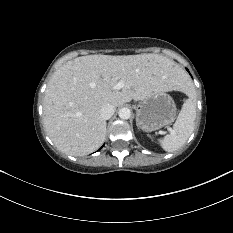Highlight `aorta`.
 <instances>
[{"mask_svg":"<svg viewBox=\"0 0 233 233\" xmlns=\"http://www.w3.org/2000/svg\"><path fill=\"white\" fill-rule=\"evenodd\" d=\"M118 115H119V117H120L121 119L127 120V119H129L130 116H131V111H130L129 108L123 107V108H121V109L119 110Z\"/></svg>","mask_w":233,"mask_h":233,"instance_id":"1","label":"aorta"}]
</instances>
